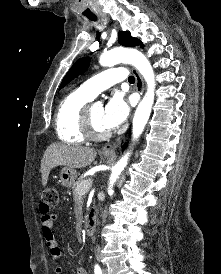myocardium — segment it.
Wrapping results in <instances>:
<instances>
[{
    "instance_id": "obj_1",
    "label": "myocardium",
    "mask_w": 221,
    "mask_h": 274,
    "mask_svg": "<svg viewBox=\"0 0 221 274\" xmlns=\"http://www.w3.org/2000/svg\"><path fill=\"white\" fill-rule=\"evenodd\" d=\"M92 105L88 104L83 110L82 114V127L87 138L92 140H104L110 136L108 131L99 130L93 123L91 116Z\"/></svg>"
}]
</instances>
